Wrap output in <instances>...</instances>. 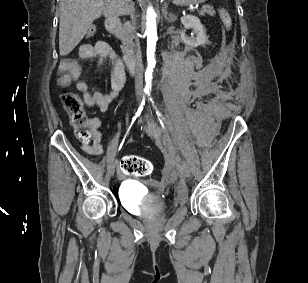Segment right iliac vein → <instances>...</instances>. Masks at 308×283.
<instances>
[{
	"mask_svg": "<svg viewBox=\"0 0 308 283\" xmlns=\"http://www.w3.org/2000/svg\"><path fill=\"white\" fill-rule=\"evenodd\" d=\"M140 104V99L137 101V106ZM118 161L117 159L114 160L113 164H112V174H114L115 169L117 167Z\"/></svg>",
	"mask_w": 308,
	"mask_h": 283,
	"instance_id": "obj_1",
	"label": "right iliac vein"
}]
</instances>
